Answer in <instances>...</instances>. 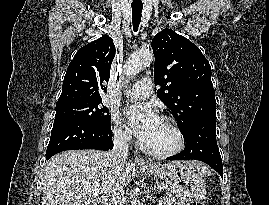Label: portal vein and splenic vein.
<instances>
[{
    "mask_svg": "<svg viewBox=\"0 0 269 205\" xmlns=\"http://www.w3.org/2000/svg\"><path fill=\"white\" fill-rule=\"evenodd\" d=\"M87 189H89V191L92 192L95 196H98L100 194L99 189H92L90 187H87Z\"/></svg>",
    "mask_w": 269,
    "mask_h": 205,
    "instance_id": "18ae733b",
    "label": "portal vein and splenic vein"
}]
</instances>
